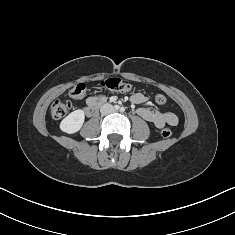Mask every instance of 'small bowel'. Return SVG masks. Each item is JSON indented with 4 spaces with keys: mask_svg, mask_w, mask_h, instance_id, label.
I'll return each mask as SVG.
<instances>
[{
    "mask_svg": "<svg viewBox=\"0 0 235 235\" xmlns=\"http://www.w3.org/2000/svg\"><path fill=\"white\" fill-rule=\"evenodd\" d=\"M133 103L141 105L137 109V114L144 120L153 123L157 128H163L165 125L175 126L178 124V117L171 111H158L147 107L148 98L140 93L132 95ZM105 97L103 95H92L86 99V107H90L96 103H103Z\"/></svg>",
    "mask_w": 235,
    "mask_h": 235,
    "instance_id": "small-bowel-1",
    "label": "small bowel"
}]
</instances>
